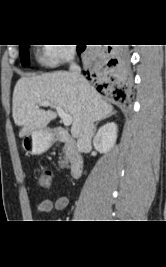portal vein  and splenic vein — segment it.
I'll list each match as a JSON object with an SVG mask.
<instances>
[{
    "instance_id": "1",
    "label": "portal vein and splenic vein",
    "mask_w": 166,
    "mask_h": 267,
    "mask_svg": "<svg viewBox=\"0 0 166 267\" xmlns=\"http://www.w3.org/2000/svg\"><path fill=\"white\" fill-rule=\"evenodd\" d=\"M39 106H51V107L55 108L59 117L61 118V120L65 126H70L72 124V120H73L72 116L70 114L64 112V110L61 107L53 105L52 103H50L48 101L40 102Z\"/></svg>"
}]
</instances>
